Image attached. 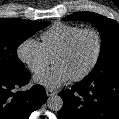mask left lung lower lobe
I'll list each match as a JSON object with an SVG mask.
<instances>
[{"label":"left lung lower lobe","mask_w":119,"mask_h":119,"mask_svg":"<svg viewBox=\"0 0 119 119\" xmlns=\"http://www.w3.org/2000/svg\"><path fill=\"white\" fill-rule=\"evenodd\" d=\"M59 95V119H119V75L84 78Z\"/></svg>","instance_id":"0a47b994"}]
</instances>
